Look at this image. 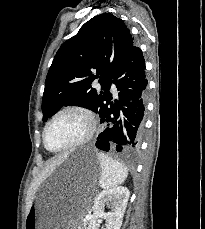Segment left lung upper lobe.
<instances>
[{"label":"left lung upper lobe","instance_id":"1","mask_svg":"<svg viewBox=\"0 0 205 229\" xmlns=\"http://www.w3.org/2000/svg\"><path fill=\"white\" fill-rule=\"evenodd\" d=\"M133 40L124 22L110 13L87 21L54 57L45 81L43 122L68 105L88 108L100 116L107 107L111 82ZM95 79L101 84L100 92L91 87Z\"/></svg>","mask_w":205,"mask_h":229}]
</instances>
